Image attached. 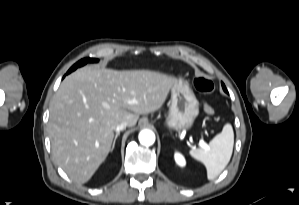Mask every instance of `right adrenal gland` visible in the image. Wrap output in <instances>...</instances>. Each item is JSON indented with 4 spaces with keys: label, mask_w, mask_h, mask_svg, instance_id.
Segmentation results:
<instances>
[{
    "label": "right adrenal gland",
    "mask_w": 299,
    "mask_h": 205,
    "mask_svg": "<svg viewBox=\"0 0 299 205\" xmlns=\"http://www.w3.org/2000/svg\"><path fill=\"white\" fill-rule=\"evenodd\" d=\"M119 135H120V132H117L116 135H115V137H114V141H113V145H112V150H113L114 147H115L116 140H117V138H118Z\"/></svg>",
    "instance_id": "2a0ac1e0"
}]
</instances>
